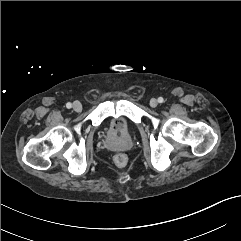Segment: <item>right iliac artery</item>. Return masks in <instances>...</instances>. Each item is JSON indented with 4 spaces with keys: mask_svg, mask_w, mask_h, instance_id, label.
Listing matches in <instances>:
<instances>
[{
    "mask_svg": "<svg viewBox=\"0 0 241 241\" xmlns=\"http://www.w3.org/2000/svg\"><path fill=\"white\" fill-rule=\"evenodd\" d=\"M66 107H67L68 109H70V108L72 107V104H71L70 102H68V103L66 104Z\"/></svg>",
    "mask_w": 241,
    "mask_h": 241,
    "instance_id": "obj_1",
    "label": "right iliac artery"
}]
</instances>
